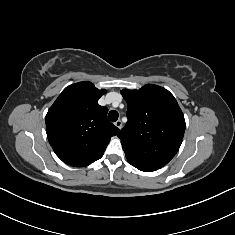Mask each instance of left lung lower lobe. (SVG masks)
<instances>
[{"instance_id":"1","label":"left lung lower lobe","mask_w":235,"mask_h":235,"mask_svg":"<svg viewBox=\"0 0 235 235\" xmlns=\"http://www.w3.org/2000/svg\"><path fill=\"white\" fill-rule=\"evenodd\" d=\"M128 162L141 171L150 172V171L157 170V168L149 167L146 165H142V164H138V163H134V162H130V161H128Z\"/></svg>"}]
</instances>
